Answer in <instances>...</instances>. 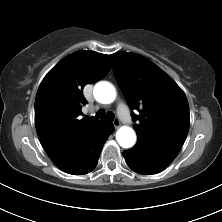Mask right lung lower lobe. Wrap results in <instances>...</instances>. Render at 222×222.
Wrapping results in <instances>:
<instances>
[{
  "label": "right lung lower lobe",
  "mask_w": 222,
  "mask_h": 222,
  "mask_svg": "<svg viewBox=\"0 0 222 222\" xmlns=\"http://www.w3.org/2000/svg\"><path fill=\"white\" fill-rule=\"evenodd\" d=\"M112 123L105 125L103 128L90 136L88 141L89 152L84 156V159L79 164L64 165L60 167L66 173L74 175H83L91 172L97 165L103 144L108 136L113 132Z\"/></svg>",
  "instance_id": "98d812e1"
}]
</instances>
